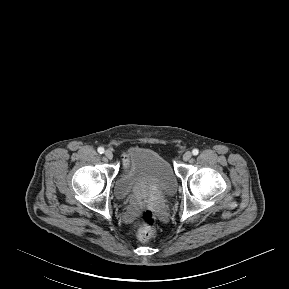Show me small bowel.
<instances>
[{
	"mask_svg": "<svg viewBox=\"0 0 289 289\" xmlns=\"http://www.w3.org/2000/svg\"><path fill=\"white\" fill-rule=\"evenodd\" d=\"M127 155H124V165L126 164Z\"/></svg>",
	"mask_w": 289,
	"mask_h": 289,
	"instance_id": "1",
	"label": "small bowel"
}]
</instances>
